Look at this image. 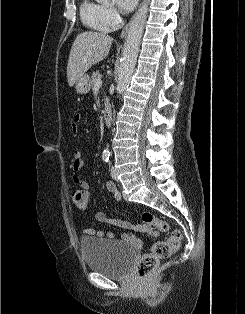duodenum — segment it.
<instances>
[{
    "label": "duodenum",
    "instance_id": "obj_1",
    "mask_svg": "<svg viewBox=\"0 0 245 314\" xmlns=\"http://www.w3.org/2000/svg\"><path fill=\"white\" fill-rule=\"evenodd\" d=\"M103 108H104V115H103L104 124L105 126L110 127L112 124L113 109H112L111 102L108 98L103 99Z\"/></svg>",
    "mask_w": 245,
    "mask_h": 314
}]
</instances>
